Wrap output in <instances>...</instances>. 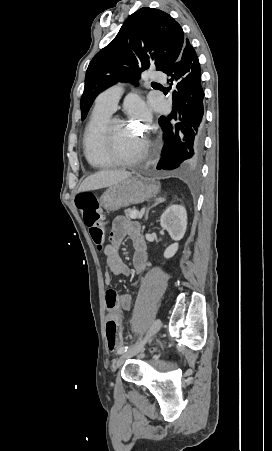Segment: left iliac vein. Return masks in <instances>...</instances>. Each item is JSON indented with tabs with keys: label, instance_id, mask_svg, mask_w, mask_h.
<instances>
[{
	"label": "left iliac vein",
	"instance_id": "obj_1",
	"mask_svg": "<svg viewBox=\"0 0 272 451\" xmlns=\"http://www.w3.org/2000/svg\"><path fill=\"white\" fill-rule=\"evenodd\" d=\"M162 322L160 319H155L152 322V325L150 326L149 330L147 331L146 337L143 341L140 342V344L133 346L131 349H129L125 354H123L113 365L115 369H117L119 366L123 364V362L126 359L131 358L132 356L136 355L147 343L152 341V338L159 332L161 329Z\"/></svg>",
	"mask_w": 272,
	"mask_h": 451
}]
</instances>
